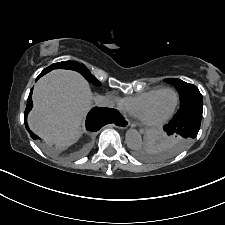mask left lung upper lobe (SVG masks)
<instances>
[{
	"label": "left lung upper lobe",
	"mask_w": 225,
	"mask_h": 225,
	"mask_svg": "<svg viewBox=\"0 0 225 225\" xmlns=\"http://www.w3.org/2000/svg\"><path fill=\"white\" fill-rule=\"evenodd\" d=\"M168 83L174 85L180 94V108L177 114H180L186 110L192 108H202L203 107V98L201 93L199 92L198 88L193 85L186 83L180 79L176 78H167L165 79ZM192 142L191 139H185L178 135L169 136L166 147L165 153L166 155H173L178 153L179 149H177V145L185 144L184 148L187 147ZM183 148V149H184Z\"/></svg>",
	"instance_id": "obj_1"
}]
</instances>
